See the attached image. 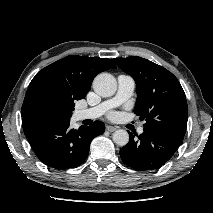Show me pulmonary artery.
Returning a JSON list of instances; mask_svg holds the SVG:
<instances>
[{"label": "pulmonary artery", "mask_w": 213, "mask_h": 213, "mask_svg": "<svg viewBox=\"0 0 213 213\" xmlns=\"http://www.w3.org/2000/svg\"><path fill=\"white\" fill-rule=\"evenodd\" d=\"M117 81V93L112 99L104 101L101 104L91 108L78 110L75 114L76 119L85 120L98 118L105 114L108 110L117 107L126 100H128L135 89L134 79L129 75L122 74L118 76ZM137 131L139 134H142L144 132V128L139 127Z\"/></svg>", "instance_id": "e3ab8cb5"}]
</instances>
